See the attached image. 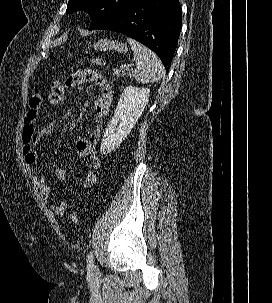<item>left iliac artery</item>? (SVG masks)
Wrapping results in <instances>:
<instances>
[{"label":"left iliac artery","mask_w":272,"mask_h":303,"mask_svg":"<svg viewBox=\"0 0 272 303\" xmlns=\"http://www.w3.org/2000/svg\"><path fill=\"white\" fill-rule=\"evenodd\" d=\"M94 268V256L93 252L90 251L87 255V270L91 271Z\"/></svg>","instance_id":"left-iliac-artery-1"}]
</instances>
